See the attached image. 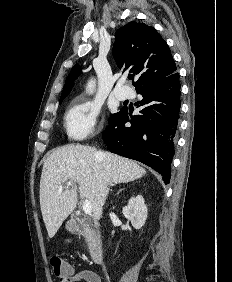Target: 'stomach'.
Instances as JSON below:
<instances>
[{"label": "stomach", "mask_w": 232, "mask_h": 282, "mask_svg": "<svg viewBox=\"0 0 232 282\" xmlns=\"http://www.w3.org/2000/svg\"><path fill=\"white\" fill-rule=\"evenodd\" d=\"M76 224H75V222L73 221V220H69V221H67V223H66V229L68 230V231H70V232H75V230H76Z\"/></svg>", "instance_id": "obj_1"}]
</instances>
